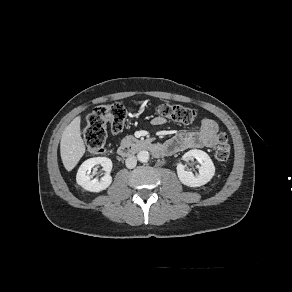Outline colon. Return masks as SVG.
Returning <instances> with one entry per match:
<instances>
[{
    "mask_svg": "<svg viewBox=\"0 0 292 292\" xmlns=\"http://www.w3.org/2000/svg\"><path fill=\"white\" fill-rule=\"evenodd\" d=\"M158 116L190 124L196 118L194 109L176 104H161L156 108ZM127 120V110L122 104L100 105L93 109L86 117L83 138L90 153L100 154L105 151L107 127L114 133L123 130ZM231 152L230 139L224 132H220L216 140L215 156L220 161H226Z\"/></svg>",
    "mask_w": 292,
    "mask_h": 292,
    "instance_id": "1",
    "label": "colon"
}]
</instances>
